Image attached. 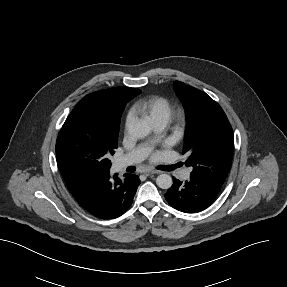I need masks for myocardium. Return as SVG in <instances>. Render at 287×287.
<instances>
[{
  "instance_id": "obj_1",
  "label": "myocardium",
  "mask_w": 287,
  "mask_h": 287,
  "mask_svg": "<svg viewBox=\"0 0 287 287\" xmlns=\"http://www.w3.org/2000/svg\"><path fill=\"white\" fill-rule=\"evenodd\" d=\"M185 111L180 109V110H177L176 112L173 113L172 115V122L174 123L175 125V128L177 129H180L181 126H182V123L184 122L185 120Z\"/></svg>"
}]
</instances>
